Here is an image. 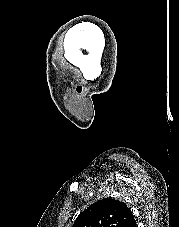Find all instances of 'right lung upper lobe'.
I'll return each mask as SVG.
<instances>
[{
    "label": "right lung upper lobe",
    "instance_id": "obj_1",
    "mask_svg": "<svg viewBox=\"0 0 179 227\" xmlns=\"http://www.w3.org/2000/svg\"><path fill=\"white\" fill-rule=\"evenodd\" d=\"M73 227H136V221L124 202L105 198L81 212Z\"/></svg>",
    "mask_w": 179,
    "mask_h": 227
}]
</instances>
